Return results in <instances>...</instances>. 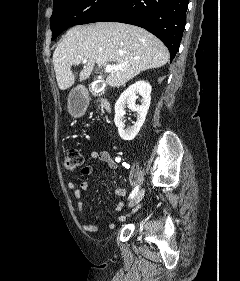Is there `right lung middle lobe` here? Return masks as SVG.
<instances>
[{"label":"right lung middle lobe","instance_id":"1","mask_svg":"<svg viewBox=\"0 0 240 281\" xmlns=\"http://www.w3.org/2000/svg\"><path fill=\"white\" fill-rule=\"evenodd\" d=\"M118 0H54L50 19L52 40L73 25L94 22Z\"/></svg>","mask_w":240,"mask_h":281}]
</instances>
